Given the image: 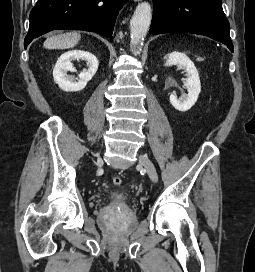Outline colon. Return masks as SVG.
Segmentation results:
<instances>
[{"label": "colon", "mask_w": 255, "mask_h": 272, "mask_svg": "<svg viewBox=\"0 0 255 272\" xmlns=\"http://www.w3.org/2000/svg\"><path fill=\"white\" fill-rule=\"evenodd\" d=\"M112 182L114 185L119 186L122 183V179L119 176H114Z\"/></svg>", "instance_id": "colon-1"}]
</instances>
